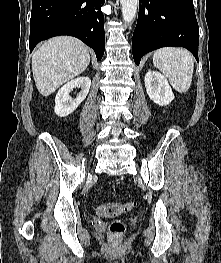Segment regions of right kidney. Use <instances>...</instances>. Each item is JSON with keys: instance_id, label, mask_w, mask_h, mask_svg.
<instances>
[{"instance_id": "right-kidney-1", "label": "right kidney", "mask_w": 221, "mask_h": 263, "mask_svg": "<svg viewBox=\"0 0 221 263\" xmlns=\"http://www.w3.org/2000/svg\"><path fill=\"white\" fill-rule=\"evenodd\" d=\"M91 85L89 77H78L66 83L59 89L55 97V113L59 117H66L77 109L80 103L86 98ZM76 87L80 92L75 99H72L69 93Z\"/></svg>"}]
</instances>
